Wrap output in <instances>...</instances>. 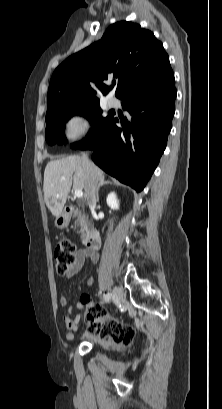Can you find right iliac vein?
Instances as JSON below:
<instances>
[{
    "label": "right iliac vein",
    "instance_id": "63e3f726",
    "mask_svg": "<svg viewBox=\"0 0 222 409\" xmlns=\"http://www.w3.org/2000/svg\"><path fill=\"white\" fill-rule=\"evenodd\" d=\"M113 296H114L116 299L122 298V297H123V291H122V289H120L119 287H115V288L113 289Z\"/></svg>",
    "mask_w": 222,
    "mask_h": 409
}]
</instances>
